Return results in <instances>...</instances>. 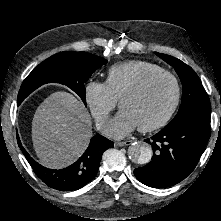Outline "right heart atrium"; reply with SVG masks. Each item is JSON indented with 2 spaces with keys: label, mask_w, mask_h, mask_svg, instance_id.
Wrapping results in <instances>:
<instances>
[{
  "label": "right heart atrium",
  "mask_w": 221,
  "mask_h": 221,
  "mask_svg": "<svg viewBox=\"0 0 221 221\" xmlns=\"http://www.w3.org/2000/svg\"><path fill=\"white\" fill-rule=\"evenodd\" d=\"M84 99L97 122H101L110 114L116 105L113 96L105 82L89 79L83 87Z\"/></svg>",
  "instance_id": "1"
}]
</instances>
